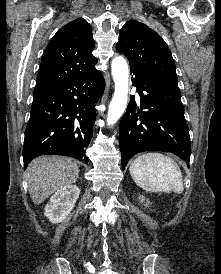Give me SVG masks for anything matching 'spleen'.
Returning a JSON list of instances; mask_svg holds the SVG:
<instances>
[{"instance_id":"obj_1","label":"spleen","mask_w":221,"mask_h":274,"mask_svg":"<svg viewBox=\"0 0 221 274\" xmlns=\"http://www.w3.org/2000/svg\"><path fill=\"white\" fill-rule=\"evenodd\" d=\"M134 182L148 192L182 193L183 178L179 166L170 157L161 153H145L130 165Z\"/></svg>"}]
</instances>
